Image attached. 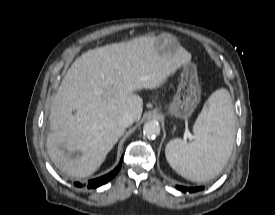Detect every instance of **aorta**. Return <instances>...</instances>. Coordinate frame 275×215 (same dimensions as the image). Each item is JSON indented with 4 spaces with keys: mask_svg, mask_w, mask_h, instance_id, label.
<instances>
[{
    "mask_svg": "<svg viewBox=\"0 0 275 215\" xmlns=\"http://www.w3.org/2000/svg\"><path fill=\"white\" fill-rule=\"evenodd\" d=\"M143 133L146 137H155L160 134V125L156 121H148L143 126Z\"/></svg>",
    "mask_w": 275,
    "mask_h": 215,
    "instance_id": "obj_1",
    "label": "aorta"
}]
</instances>
